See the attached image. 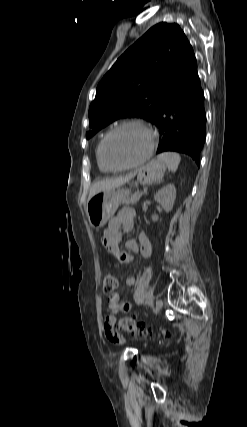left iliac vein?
Returning <instances> with one entry per match:
<instances>
[{"mask_svg": "<svg viewBox=\"0 0 247 427\" xmlns=\"http://www.w3.org/2000/svg\"><path fill=\"white\" fill-rule=\"evenodd\" d=\"M162 306H163V301L161 300V299H158L157 301H156V305H155V309H154V312L157 314V313H159L160 312V310L162 309Z\"/></svg>", "mask_w": 247, "mask_h": 427, "instance_id": "4c4485c4", "label": "left iliac vein"}]
</instances>
